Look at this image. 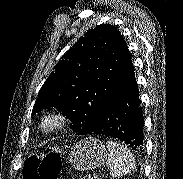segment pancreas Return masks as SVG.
<instances>
[{
	"mask_svg": "<svg viewBox=\"0 0 183 179\" xmlns=\"http://www.w3.org/2000/svg\"><path fill=\"white\" fill-rule=\"evenodd\" d=\"M79 179H87L85 176H83V177H79Z\"/></svg>",
	"mask_w": 183,
	"mask_h": 179,
	"instance_id": "obj_1",
	"label": "pancreas"
}]
</instances>
